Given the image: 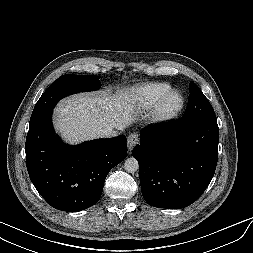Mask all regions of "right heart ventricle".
Returning <instances> with one entry per match:
<instances>
[{"label":"right heart ventricle","instance_id":"right-heart-ventricle-1","mask_svg":"<svg viewBox=\"0 0 253 253\" xmlns=\"http://www.w3.org/2000/svg\"><path fill=\"white\" fill-rule=\"evenodd\" d=\"M171 91V86L163 82H150L141 85L132 93V100L137 106L144 110L155 107L160 98Z\"/></svg>","mask_w":253,"mask_h":253}]
</instances>
